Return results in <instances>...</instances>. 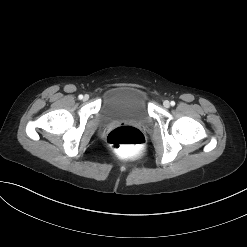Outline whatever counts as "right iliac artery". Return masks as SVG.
Listing matches in <instances>:
<instances>
[{"label":"right iliac artery","instance_id":"1","mask_svg":"<svg viewBox=\"0 0 247 247\" xmlns=\"http://www.w3.org/2000/svg\"><path fill=\"white\" fill-rule=\"evenodd\" d=\"M78 98L81 100L83 99V95H79Z\"/></svg>","mask_w":247,"mask_h":247}]
</instances>
